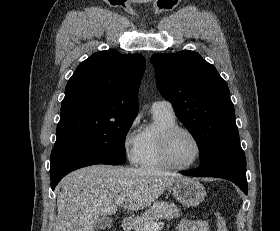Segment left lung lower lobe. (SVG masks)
<instances>
[{
  "mask_svg": "<svg viewBox=\"0 0 280 231\" xmlns=\"http://www.w3.org/2000/svg\"><path fill=\"white\" fill-rule=\"evenodd\" d=\"M181 173L196 177L227 179L235 183L246 195L248 194L246 159L240 145L221 151L195 170L181 171Z\"/></svg>",
  "mask_w": 280,
  "mask_h": 231,
  "instance_id": "0a47b994",
  "label": "left lung lower lobe"
}]
</instances>
